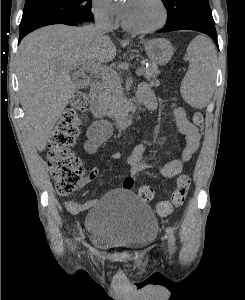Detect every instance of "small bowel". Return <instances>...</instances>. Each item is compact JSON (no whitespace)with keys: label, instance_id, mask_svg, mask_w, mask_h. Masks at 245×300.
<instances>
[{"label":"small bowel","instance_id":"small-bowel-1","mask_svg":"<svg viewBox=\"0 0 245 300\" xmlns=\"http://www.w3.org/2000/svg\"><path fill=\"white\" fill-rule=\"evenodd\" d=\"M138 92H142L147 97V107L154 109L156 107V99L150 89L146 85H141ZM173 117L176 121V125L181 134L185 136L186 146L182 151L179 158L173 159L158 168V174L163 178H173L178 176L193 154L198 150L201 133L199 128L189 121L183 108L173 105L172 107ZM112 126L106 120H95L87 129L86 141L84 143V149L88 154H93L97 149L109 139L112 135ZM146 146L143 143L137 144L130 155H124L122 153H113L111 158L124 160L129 166V174L122 182V187L125 190H132L134 186L135 176L146 170L154 168V163L145 159ZM98 176V168L94 167L90 170L85 178V183L88 184L95 180ZM93 205V201H87L85 203H79L75 200L66 202L67 210L72 214H78Z\"/></svg>","mask_w":245,"mask_h":300}]
</instances>
